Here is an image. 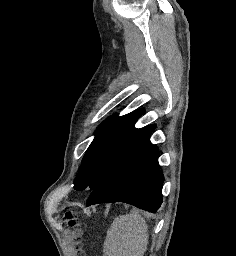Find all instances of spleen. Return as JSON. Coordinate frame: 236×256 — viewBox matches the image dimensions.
Instances as JSON below:
<instances>
[{"label": "spleen", "mask_w": 236, "mask_h": 256, "mask_svg": "<svg viewBox=\"0 0 236 256\" xmlns=\"http://www.w3.org/2000/svg\"><path fill=\"white\" fill-rule=\"evenodd\" d=\"M148 246V226L135 210L114 218L103 244V256H144Z\"/></svg>", "instance_id": "spleen-1"}]
</instances>
